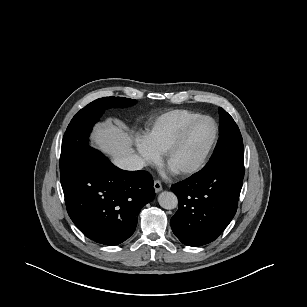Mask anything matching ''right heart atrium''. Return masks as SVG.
<instances>
[{
  "instance_id": "obj_1",
  "label": "right heart atrium",
  "mask_w": 307,
  "mask_h": 307,
  "mask_svg": "<svg viewBox=\"0 0 307 307\" xmlns=\"http://www.w3.org/2000/svg\"><path fill=\"white\" fill-rule=\"evenodd\" d=\"M136 148L145 166H153L160 161V154L148 144L145 138L136 140Z\"/></svg>"
}]
</instances>
